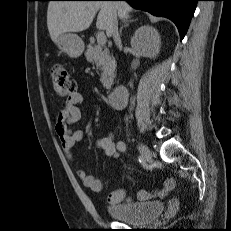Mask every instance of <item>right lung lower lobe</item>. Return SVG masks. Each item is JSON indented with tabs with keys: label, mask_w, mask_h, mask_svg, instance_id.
Returning <instances> with one entry per match:
<instances>
[{
	"label": "right lung lower lobe",
	"mask_w": 231,
	"mask_h": 231,
	"mask_svg": "<svg viewBox=\"0 0 231 231\" xmlns=\"http://www.w3.org/2000/svg\"><path fill=\"white\" fill-rule=\"evenodd\" d=\"M98 1V0H90ZM126 1L132 7L145 10L156 16L171 19L177 26L182 40L188 30L192 15L199 0H118Z\"/></svg>",
	"instance_id": "obj_1"
}]
</instances>
